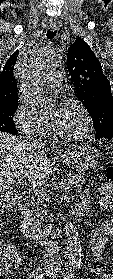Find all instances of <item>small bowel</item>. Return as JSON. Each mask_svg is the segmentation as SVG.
I'll return each mask as SVG.
<instances>
[{"label":"small bowel","instance_id":"1","mask_svg":"<svg viewBox=\"0 0 113 279\" xmlns=\"http://www.w3.org/2000/svg\"><path fill=\"white\" fill-rule=\"evenodd\" d=\"M100 205L104 207H112L113 192H108L105 197H102V199L100 200ZM112 237H113V217L105 221L101 225L100 229L88 238V242L94 260L96 261L102 260L103 252L106 249V247L110 244ZM18 264H19V260L17 259L14 262V265L17 266ZM90 271L92 274H94L97 277V279H113V269L112 271H107L103 267L94 266L90 268Z\"/></svg>","mask_w":113,"mask_h":279}]
</instances>
